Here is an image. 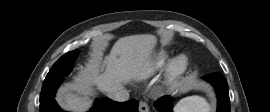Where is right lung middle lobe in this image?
Segmentation results:
<instances>
[{
    "label": "right lung middle lobe",
    "instance_id": "dd1d6c3e",
    "mask_svg": "<svg viewBox=\"0 0 270 112\" xmlns=\"http://www.w3.org/2000/svg\"><path fill=\"white\" fill-rule=\"evenodd\" d=\"M77 56L78 50L64 54L56 63H54L44 82L50 85L61 83L63 81V77L69 74L72 70L73 63Z\"/></svg>",
    "mask_w": 270,
    "mask_h": 112
}]
</instances>
